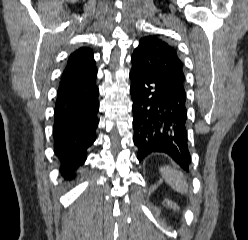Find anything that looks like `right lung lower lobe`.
I'll list each match as a JSON object with an SVG mask.
<instances>
[{"mask_svg": "<svg viewBox=\"0 0 248 240\" xmlns=\"http://www.w3.org/2000/svg\"><path fill=\"white\" fill-rule=\"evenodd\" d=\"M97 69L60 83L54 109V152L61 174L68 176L82 165L96 139L99 110Z\"/></svg>", "mask_w": 248, "mask_h": 240, "instance_id": "obj_1", "label": "right lung lower lobe"}]
</instances>
